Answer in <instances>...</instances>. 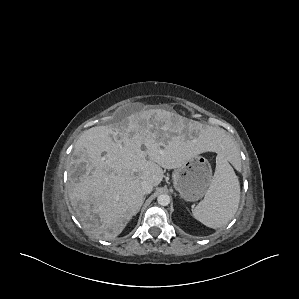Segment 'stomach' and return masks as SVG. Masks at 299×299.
<instances>
[{
    "mask_svg": "<svg viewBox=\"0 0 299 299\" xmlns=\"http://www.w3.org/2000/svg\"><path fill=\"white\" fill-rule=\"evenodd\" d=\"M174 188L186 201H197L206 195L213 176L212 168L207 159L196 156L172 174Z\"/></svg>",
    "mask_w": 299,
    "mask_h": 299,
    "instance_id": "0dacf381",
    "label": "stomach"
}]
</instances>
